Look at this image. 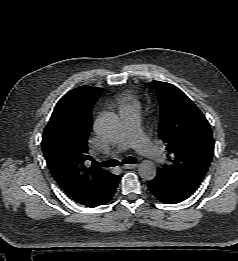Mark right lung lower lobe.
<instances>
[{
    "mask_svg": "<svg viewBox=\"0 0 238 261\" xmlns=\"http://www.w3.org/2000/svg\"><path fill=\"white\" fill-rule=\"evenodd\" d=\"M118 186V175H113L110 173L108 178L104 181L100 189L93 194L91 197L81 202L80 204L87 207H97L108 203L113 197L115 190Z\"/></svg>",
    "mask_w": 238,
    "mask_h": 261,
    "instance_id": "98d812e1",
    "label": "right lung lower lobe"
}]
</instances>
